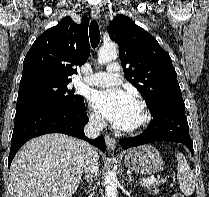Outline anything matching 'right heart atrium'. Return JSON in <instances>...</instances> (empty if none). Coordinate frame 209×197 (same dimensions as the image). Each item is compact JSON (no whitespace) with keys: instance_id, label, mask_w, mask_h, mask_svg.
Here are the masks:
<instances>
[{"instance_id":"obj_1","label":"right heart atrium","mask_w":209,"mask_h":197,"mask_svg":"<svg viewBox=\"0 0 209 197\" xmlns=\"http://www.w3.org/2000/svg\"><path fill=\"white\" fill-rule=\"evenodd\" d=\"M89 120H90V123L94 126V127H97V128H100L103 126V120L101 118V116L92 111L90 114H89Z\"/></svg>"}]
</instances>
